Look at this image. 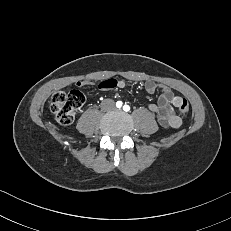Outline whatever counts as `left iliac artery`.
I'll return each mask as SVG.
<instances>
[{
	"instance_id": "left-iliac-artery-1",
	"label": "left iliac artery",
	"mask_w": 231,
	"mask_h": 231,
	"mask_svg": "<svg viewBox=\"0 0 231 231\" xmlns=\"http://www.w3.org/2000/svg\"><path fill=\"white\" fill-rule=\"evenodd\" d=\"M123 110H124V111H129V110H130V107H129L128 105H124V106H123Z\"/></svg>"
}]
</instances>
